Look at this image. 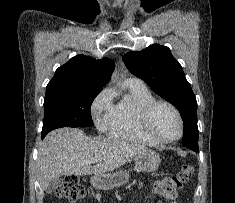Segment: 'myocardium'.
<instances>
[{"mask_svg": "<svg viewBox=\"0 0 235 203\" xmlns=\"http://www.w3.org/2000/svg\"><path fill=\"white\" fill-rule=\"evenodd\" d=\"M160 105H165V106L169 107L174 112V114L178 120L179 133L174 138H171V139L160 138V137L156 136L150 129L151 115H152L153 111ZM139 122H140V127H141L142 131L144 132V134L157 144H170V143L178 141L183 136L184 121H183L182 115H181L180 111L178 110V108L174 104H172L171 102L166 101V100L154 99V100L146 103L145 105H143L140 110V114H139Z\"/></svg>", "mask_w": 235, "mask_h": 203, "instance_id": "myocardium-1", "label": "myocardium"}]
</instances>
